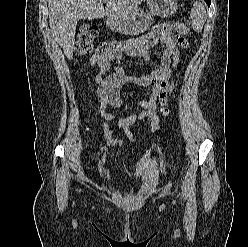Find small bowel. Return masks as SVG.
Wrapping results in <instances>:
<instances>
[{"label":"small bowel","instance_id":"small-bowel-1","mask_svg":"<svg viewBox=\"0 0 248 247\" xmlns=\"http://www.w3.org/2000/svg\"><path fill=\"white\" fill-rule=\"evenodd\" d=\"M186 46L187 41L181 36L168 34L162 38H154L149 35L128 41L125 50L114 52L99 62L95 83L100 99L103 133L109 146H120L121 144L112 140V131L106 121L114 122L121 127L129 139L132 138L131 126L144 118H151L155 129L158 128L156 124L158 105H160L162 113H168V102L174 90V80H170V78L179 62V48ZM155 47L161 49L160 68L145 75H133L128 73L122 65L124 57H135L147 62L155 61V57L151 53V50ZM111 61L115 62L114 72L107 75L111 69ZM126 84L149 88L150 93L146 99L137 103L142 111L125 117H116L107 112V107L111 106L117 109L125 107V103L121 99V91Z\"/></svg>","mask_w":248,"mask_h":247}]
</instances>
